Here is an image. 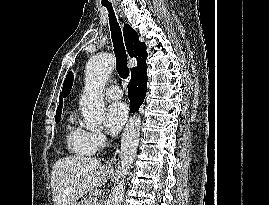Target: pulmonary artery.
<instances>
[{
	"mask_svg": "<svg viewBox=\"0 0 269 205\" xmlns=\"http://www.w3.org/2000/svg\"><path fill=\"white\" fill-rule=\"evenodd\" d=\"M106 96L110 99L118 100L123 97L121 88L117 85H112L106 90Z\"/></svg>",
	"mask_w": 269,
	"mask_h": 205,
	"instance_id": "e3ab8cb5",
	"label": "pulmonary artery"
}]
</instances>
